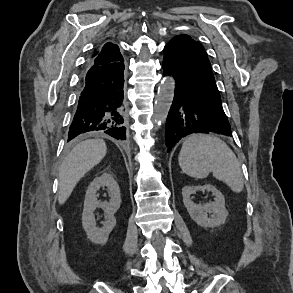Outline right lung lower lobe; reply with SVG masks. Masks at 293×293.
I'll return each mask as SVG.
<instances>
[{"mask_svg":"<svg viewBox=\"0 0 293 293\" xmlns=\"http://www.w3.org/2000/svg\"><path fill=\"white\" fill-rule=\"evenodd\" d=\"M123 73V62L87 69L68 141L83 133L126 139Z\"/></svg>","mask_w":293,"mask_h":293,"instance_id":"1","label":"right lung lower lobe"}]
</instances>
